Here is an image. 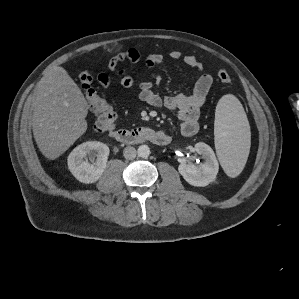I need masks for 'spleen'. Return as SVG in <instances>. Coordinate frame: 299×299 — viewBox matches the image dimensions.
<instances>
[{
    "mask_svg": "<svg viewBox=\"0 0 299 299\" xmlns=\"http://www.w3.org/2000/svg\"><path fill=\"white\" fill-rule=\"evenodd\" d=\"M216 153L225 173L238 176L250 149V126L240 101L232 94L221 97L215 110Z\"/></svg>",
    "mask_w": 299,
    "mask_h": 299,
    "instance_id": "spleen-1",
    "label": "spleen"
}]
</instances>
